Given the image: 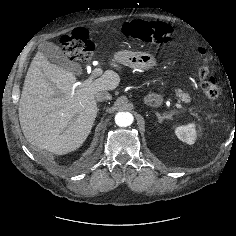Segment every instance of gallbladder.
Here are the masks:
<instances>
[{"instance_id": "bac80fb5", "label": "gallbladder", "mask_w": 236, "mask_h": 236, "mask_svg": "<svg viewBox=\"0 0 236 236\" xmlns=\"http://www.w3.org/2000/svg\"><path fill=\"white\" fill-rule=\"evenodd\" d=\"M39 51L52 63L65 68L73 73H80L79 63L69 60L59 46L52 42L44 41L39 45Z\"/></svg>"}]
</instances>
